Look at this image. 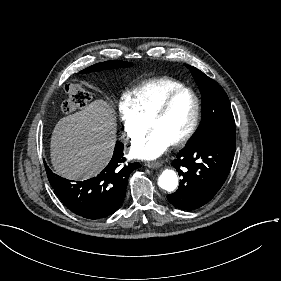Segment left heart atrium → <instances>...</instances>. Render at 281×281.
<instances>
[{
    "instance_id": "left-heart-atrium-1",
    "label": "left heart atrium",
    "mask_w": 281,
    "mask_h": 281,
    "mask_svg": "<svg viewBox=\"0 0 281 281\" xmlns=\"http://www.w3.org/2000/svg\"><path fill=\"white\" fill-rule=\"evenodd\" d=\"M170 141L158 132L149 133L132 149V155L140 160H155L170 147Z\"/></svg>"
}]
</instances>
